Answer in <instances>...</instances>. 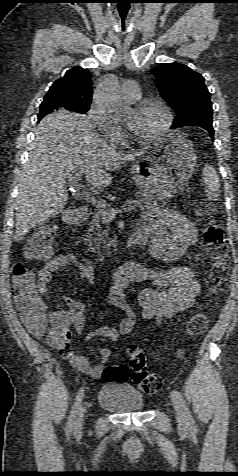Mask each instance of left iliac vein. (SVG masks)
Masks as SVG:
<instances>
[{"instance_id":"4c4485c4","label":"left iliac vein","mask_w":238,"mask_h":476,"mask_svg":"<svg viewBox=\"0 0 238 476\" xmlns=\"http://www.w3.org/2000/svg\"><path fill=\"white\" fill-rule=\"evenodd\" d=\"M171 401H172V405H173V408L175 410V414H176V418H177V421L179 423V425L181 426H186L187 424V421H186V417H185V414L179 404V402L177 401V399L171 395Z\"/></svg>"}]
</instances>
